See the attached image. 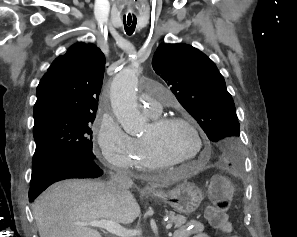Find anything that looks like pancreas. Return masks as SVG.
Returning a JSON list of instances; mask_svg holds the SVG:
<instances>
[{
  "mask_svg": "<svg viewBox=\"0 0 297 237\" xmlns=\"http://www.w3.org/2000/svg\"><path fill=\"white\" fill-rule=\"evenodd\" d=\"M166 215L169 217V222L174 223L175 228L181 227L183 224L186 223V217L182 215H176L174 212H166Z\"/></svg>",
  "mask_w": 297,
  "mask_h": 237,
  "instance_id": "pancreas-1",
  "label": "pancreas"
}]
</instances>
